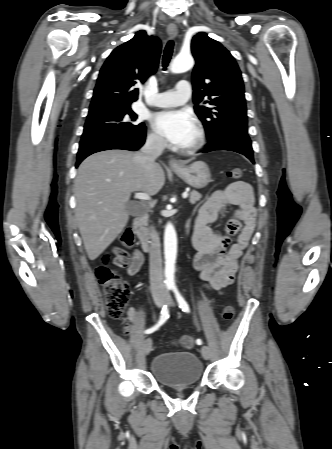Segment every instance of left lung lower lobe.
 <instances>
[{
	"label": "left lung lower lobe",
	"mask_w": 332,
	"mask_h": 449,
	"mask_svg": "<svg viewBox=\"0 0 332 449\" xmlns=\"http://www.w3.org/2000/svg\"><path fill=\"white\" fill-rule=\"evenodd\" d=\"M229 150L245 155L254 163L251 140L244 131H230L209 141L203 152Z\"/></svg>",
	"instance_id": "left-lung-lower-lobe-1"
}]
</instances>
